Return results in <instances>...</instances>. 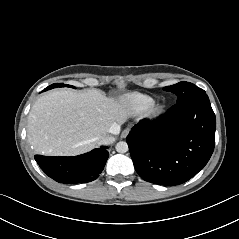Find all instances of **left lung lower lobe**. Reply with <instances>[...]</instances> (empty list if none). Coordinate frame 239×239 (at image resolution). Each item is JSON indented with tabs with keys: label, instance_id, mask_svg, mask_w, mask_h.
Returning a JSON list of instances; mask_svg holds the SVG:
<instances>
[{
	"label": "left lung lower lobe",
	"instance_id": "1",
	"mask_svg": "<svg viewBox=\"0 0 239 239\" xmlns=\"http://www.w3.org/2000/svg\"><path fill=\"white\" fill-rule=\"evenodd\" d=\"M216 118L206 93L177 102L153 121H140L126 138L137 173L159 185H178L209 161Z\"/></svg>",
	"mask_w": 239,
	"mask_h": 239
}]
</instances>
